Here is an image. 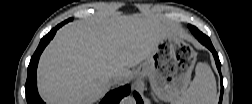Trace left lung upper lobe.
I'll use <instances>...</instances> for the list:
<instances>
[{"label": "left lung upper lobe", "mask_w": 252, "mask_h": 104, "mask_svg": "<svg viewBox=\"0 0 252 104\" xmlns=\"http://www.w3.org/2000/svg\"><path fill=\"white\" fill-rule=\"evenodd\" d=\"M188 27H189V29H191V28H193L194 26H192V25H189Z\"/></svg>", "instance_id": "5c2ea615"}]
</instances>
